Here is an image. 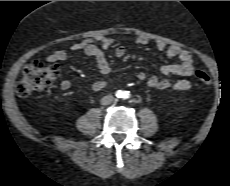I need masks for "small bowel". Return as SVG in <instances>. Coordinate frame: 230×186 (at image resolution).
<instances>
[{
  "label": "small bowel",
  "instance_id": "small-bowel-1",
  "mask_svg": "<svg viewBox=\"0 0 230 186\" xmlns=\"http://www.w3.org/2000/svg\"><path fill=\"white\" fill-rule=\"evenodd\" d=\"M113 40L106 37H96L87 41L76 43L71 46L73 51L82 52L85 55L92 57L98 70L103 75H107L111 71L110 64L104 50L108 49L112 45ZM137 44L145 45L147 40L145 38H138ZM156 48L159 52L165 53L169 58H176L179 63L177 64H167L161 67L160 73L162 77L150 76L148 77L144 72L137 73L136 77L140 81H146L147 86L153 89L167 90L173 89L176 91H185L191 87V83L187 79H181L175 82H172L168 76L178 75L183 77H189L195 71L194 66V56L193 53L189 50H183L178 45L167 46L164 42L159 41L156 44ZM126 51L124 47H117L115 49V56L122 58L125 55ZM68 58L67 52L63 50H56L50 53L46 57V61L50 63L66 61ZM109 82L107 80H97L92 84V89L94 91H101L107 88ZM72 84L69 80H62L60 87L63 90H69Z\"/></svg>",
  "mask_w": 230,
  "mask_h": 186
}]
</instances>
